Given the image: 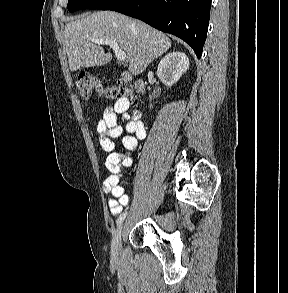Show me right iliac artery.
I'll use <instances>...</instances> for the list:
<instances>
[{
    "mask_svg": "<svg viewBox=\"0 0 288 293\" xmlns=\"http://www.w3.org/2000/svg\"><path fill=\"white\" fill-rule=\"evenodd\" d=\"M126 215H127V213H122V214L118 217V219H117V221H116L117 225H120V224L122 223V221L125 219Z\"/></svg>",
    "mask_w": 288,
    "mask_h": 293,
    "instance_id": "obj_1",
    "label": "right iliac artery"
}]
</instances>
